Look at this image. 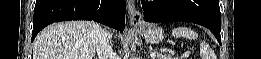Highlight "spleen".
Wrapping results in <instances>:
<instances>
[{
  "instance_id": "obj_1",
  "label": "spleen",
  "mask_w": 261,
  "mask_h": 59,
  "mask_svg": "<svg viewBox=\"0 0 261 59\" xmlns=\"http://www.w3.org/2000/svg\"><path fill=\"white\" fill-rule=\"evenodd\" d=\"M172 35L175 37H183L189 40H195L198 38V34L188 27H178L172 31ZM200 53L202 59H213V51L205 41L200 43Z\"/></svg>"
}]
</instances>
